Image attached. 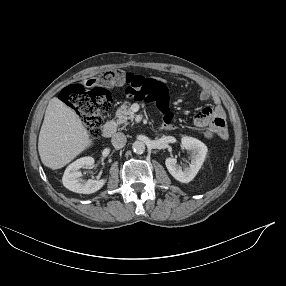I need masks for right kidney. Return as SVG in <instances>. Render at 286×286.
<instances>
[{
    "instance_id": "ca27d5eb",
    "label": "right kidney",
    "mask_w": 286,
    "mask_h": 286,
    "mask_svg": "<svg viewBox=\"0 0 286 286\" xmlns=\"http://www.w3.org/2000/svg\"><path fill=\"white\" fill-rule=\"evenodd\" d=\"M94 164L92 157H82L71 163L65 170L62 182L63 185L70 191L82 194H91L103 187L106 179L87 181L81 180L82 173L79 171L80 168L91 166Z\"/></svg>"
}]
</instances>
